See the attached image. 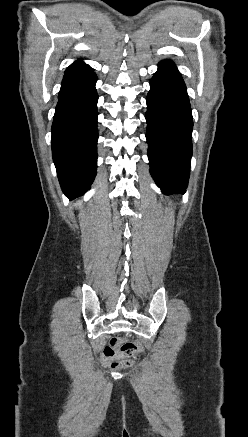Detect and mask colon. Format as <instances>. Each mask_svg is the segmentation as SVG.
Here are the masks:
<instances>
[{"instance_id": "1", "label": "colon", "mask_w": 248, "mask_h": 437, "mask_svg": "<svg viewBox=\"0 0 248 437\" xmlns=\"http://www.w3.org/2000/svg\"><path fill=\"white\" fill-rule=\"evenodd\" d=\"M141 346L137 342L122 341L117 338L110 340L103 351L104 364L111 367H129L133 361L128 357L138 353ZM122 358V359H120Z\"/></svg>"}]
</instances>
